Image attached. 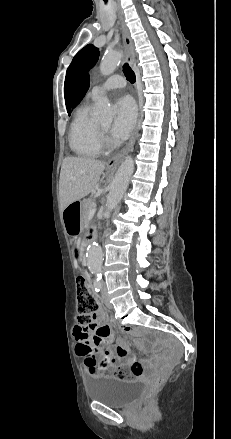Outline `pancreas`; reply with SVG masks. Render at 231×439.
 <instances>
[{"label":"pancreas","mask_w":231,"mask_h":439,"mask_svg":"<svg viewBox=\"0 0 231 439\" xmlns=\"http://www.w3.org/2000/svg\"><path fill=\"white\" fill-rule=\"evenodd\" d=\"M94 208V202L91 198L84 199L81 204V214H82V220L84 222L90 221V211Z\"/></svg>","instance_id":"pancreas-1"}]
</instances>
